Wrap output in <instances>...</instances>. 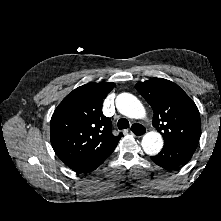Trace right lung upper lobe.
<instances>
[{
    "label": "right lung upper lobe",
    "instance_id": "right-lung-upper-lobe-1",
    "mask_svg": "<svg viewBox=\"0 0 221 221\" xmlns=\"http://www.w3.org/2000/svg\"><path fill=\"white\" fill-rule=\"evenodd\" d=\"M114 83L91 82L68 94L50 122L51 144L68 166L110 155L122 134L111 133V120L102 114V101Z\"/></svg>",
    "mask_w": 221,
    "mask_h": 221
}]
</instances>
